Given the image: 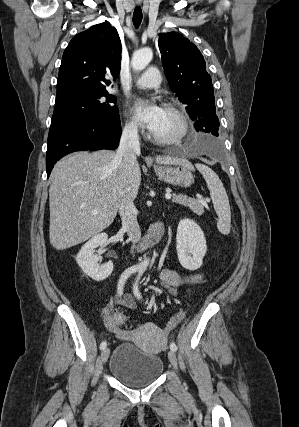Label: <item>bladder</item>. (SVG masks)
Returning a JSON list of instances; mask_svg holds the SVG:
<instances>
[{
    "instance_id": "obj_1",
    "label": "bladder",
    "mask_w": 299,
    "mask_h": 427,
    "mask_svg": "<svg viewBox=\"0 0 299 427\" xmlns=\"http://www.w3.org/2000/svg\"><path fill=\"white\" fill-rule=\"evenodd\" d=\"M110 373L122 384L140 388L152 384L162 374L160 356L138 348L132 342H121L110 360Z\"/></svg>"
}]
</instances>
